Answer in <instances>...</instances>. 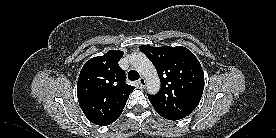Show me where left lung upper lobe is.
I'll use <instances>...</instances> for the list:
<instances>
[{
  "label": "left lung upper lobe",
  "instance_id": "1",
  "mask_svg": "<svg viewBox=\"0 0 276 138\" xmlns=\"http://www.w3.org/2000/svg\"><path fill=\"white\" fill-rule=\"evenodd\" d=\"M140 50L153 62L161 80L156 95H148L155 111L170 120L188 116L199 104L204 89V73L196 56L182 46Z\"/></svg>",
  "mask_w": 276,
  "mask_h": 138
}]
</instances>
